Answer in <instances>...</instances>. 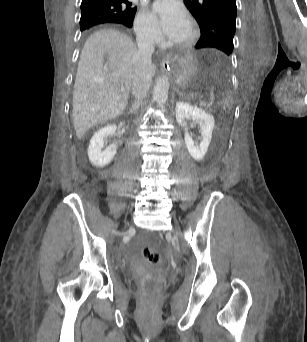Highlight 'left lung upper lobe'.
Masks as SVG:
<instances>
[{
    "label": "left lung upper lobe",
    "mask_w": 307,
    "mask_h": 342,
    "mask_svg": "<svg viewBox=\"0 0 307 342\" xmlns=\"http://www.w3.org/2000/svg\"><path fill=\"white\" fill-rule=\"evenodd\" d=\"M184 3L201 30L196 49L216 48L227 55L232 54L236 31V0H184Z\"/></svg>",
    "instance_id": "obj_1"
}]
</instances>
